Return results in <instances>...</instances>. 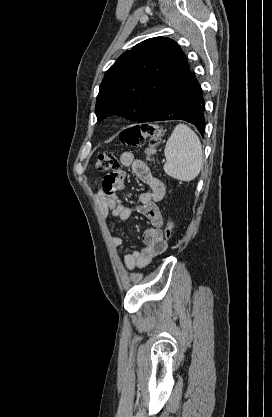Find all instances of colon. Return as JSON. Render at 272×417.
I'll return each mask as SVG.
<instances>
[{
	"mask_svg": "<svg viewBox=\"0 0 272 417\" xmlns=\"http://www.w3.org/2000/svg\"><path fill=\"white\" fill-rule=\"evenodd\" d=\"M162 136L163 132L159 125L155 123H146L126 128L121 132L119 140L121 145L125 147H139L143 145L148 138L149 143L146 148V158L150 161L155 154L158 144L161 142ZM119 167V160L113 153L110 152L101 153L95 163V169L98 172H106L110 174L116 173ZM174 227V222L169 220L163 235L165 241L171 238Z\"/></svg>",
	"mask_w": 272,
	"mask_h": 417,
	"instance_id": "obj_1",
	"label": "colon"
}]
</instances>
